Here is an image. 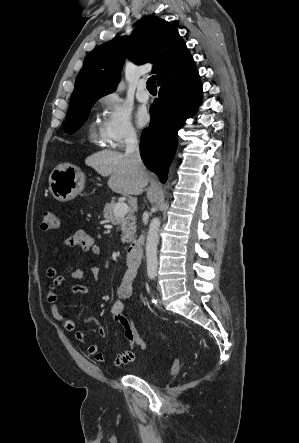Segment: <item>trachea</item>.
<instances>
[{
	"mask_svg": "<svg viewBox=\"0 0 299 443\" xmlns=\"http://www.w3.org/2000/svg\"><path fill=\"white\" fill-rule=\"evenodd\" d=\"M147 89L150 92H156L157 86H156V77L153 75L147 80Z\"/></svg>",
	"mask_w": 299,
	"mask_h": 443,
	"instance_id": "obj_1",
	"label": "trachea"
}]
</instances>
